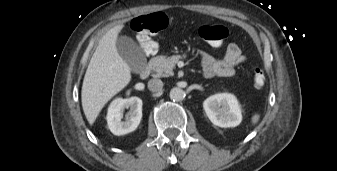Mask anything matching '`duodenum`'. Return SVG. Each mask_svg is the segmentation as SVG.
<instances>
[{
    "mask_svg": "<svg viewBox=\"0 0 337 171\" xmlns=\"http://www.w3.org/2000/svg\"><path fill=\"white\" fill-rule=\"evenodd\" d=\"M150 74V67L146 66L145 68H143L139 74L141 79H146Z\"/></svg>",
    "mask_w": 337,
    "mask_h": 171,
    "instance_id": "duodenum-1",
    "label": "duodenum"
}]
</instances>
